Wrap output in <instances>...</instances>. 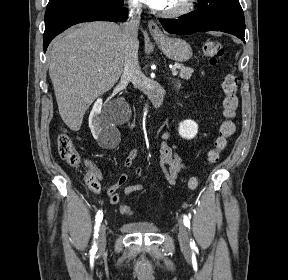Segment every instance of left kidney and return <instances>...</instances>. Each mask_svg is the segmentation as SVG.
<instances>
[{
    "mask_svg": "<svg viewBox=\"0 0 288 280\" xmlns=\"http://www.w3.org/2000/svg\"><path fill=\"white\" fill-rule=\"evenodd\" d=\"M178 132L184 139H193L198 133V125L193 120H184L179 123Z\"/></svg>",
    "mask_w": 288,
    "mask_h": 280,
    "instance_id": "1",
    "label": "left kidney"
}]
</instances>
